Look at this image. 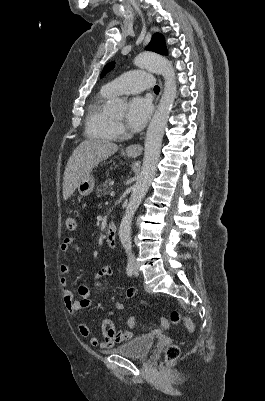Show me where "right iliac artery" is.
<instances>
[{
    "instance_id": "right-iliac-artery-1",
    "label": "right iliac artery",
    "mask_w": 265,
    "mask_h": 401,
    "mask_svg": "<svg viewBox=\"0 0 265 401\" xmlns=\"http://www.w3.org/2000/svg\"><path fill=\"white\" fill-rule=\"evenodd\" d=\"M126 273L129 277L133 275V267L131 262H128L127 264Z\"/></svg>"
}]
</instances>
